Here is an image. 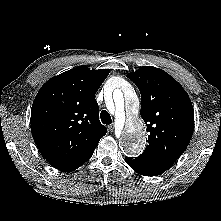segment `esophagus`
I'll return each instance as SVG.
<instances>
[{
  "label": "esophagus",
  "mask_w": 221,
  "mask_h": 221,
  "mask_svg": "<svg viewBox=\"0 0 221 221\" xmlns=\"http://www.w3.org/2000/svg\"><path fill=\"white\" fill-rule=\"evenodd\" d=\"M108 130H109L110 132H113V131H114V124L109 125V126H108Z\"/></svg>",
  "instance_id": "1"
}]
</instances>
